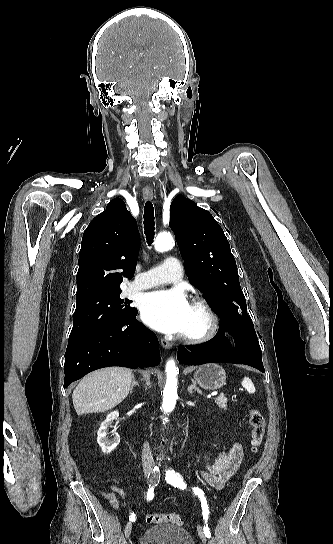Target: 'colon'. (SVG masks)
I'll use <instances>...</instances> for the list:
<instances>
[{
    "mask_svg": "<svg viewBox=\"0 0 333 544\" xmlns=\"http://www.w3.org/2000/svg\"><path fill=\"white\" fill-rule=\"evenodd\" d=\"M249 424H250V446L253 452H257L262 444L265 434V418L257 408L249 409ZM148 524L170 523L173 525H182L183 518L178 512L170 513H151L146 519Z\"/></svg>",
    "mask_w": 333,
    "mask_h": 544,
    "instance_id": "1",
    "label": "colon"
}]
</instances>
